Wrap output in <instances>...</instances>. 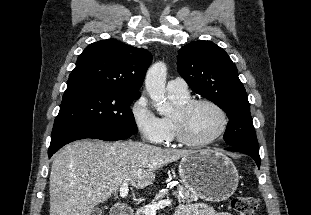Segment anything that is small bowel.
<instances>
[{
	"label": "small bowel",
	"instance_id": "small-bowel-1",
	"mask_svg": "<svg viewBox=\"0 0 311 215\" xmlns=\"http://www.w3.org/2000/svg\"><path fill=\"white\" fill-rule=\"evenodd\" d=\"M175 215H232L227 212H217L205 204L180 205Z\"/></svg>",
	"mask_w": 311,
	"mask_h": 215
}]
</instances>
